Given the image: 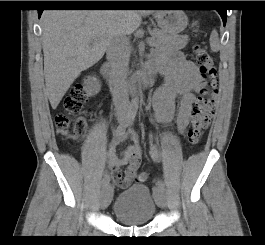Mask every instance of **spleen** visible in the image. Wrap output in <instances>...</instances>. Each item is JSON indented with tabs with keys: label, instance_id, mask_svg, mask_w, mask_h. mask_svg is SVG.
<instances>
[{
	"label": "spleen",
	"instance_id": "spleen-1",
	"mask_svg": "<svg viewBox=\"0 0 265 245\" xmlns=\"http://www.w3.org/2000/svg\"><path fill=\"white\" fill-rule=\"evenodd\" d=\"M210 46L211 49L216 52L219 50V39H218V33L216 30L212 31L210 36Z\"/></svg>",
	"mask_w": 265,
	"mask_h": 245
}]
</instances>
